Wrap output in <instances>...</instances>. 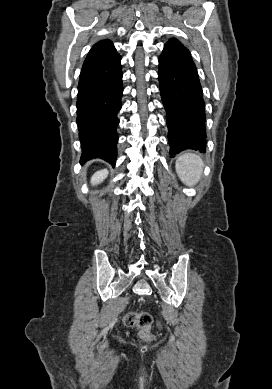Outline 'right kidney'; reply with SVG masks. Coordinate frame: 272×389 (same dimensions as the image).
Returning a JSON list of instances; mask_svg holds the SVG:
<instances>
[{
	"label": "right kidney",
	"instance_id": "ca27d5eb",
	"mask_svg": "<svg viewBox=\"0 0 272 389\" xmlns=\"http://www.w3.org/2000/svg\"><path fill=\"white\" fill-rule=\"evenodd\" d=\"M107 175H108L107 169H102L100 171H97L91 177L92 185H97V184L103 182V180L107 177Z\"/></svg>",
	"mask_w": 272,
	"mask_h": 389
}]
</instances>
